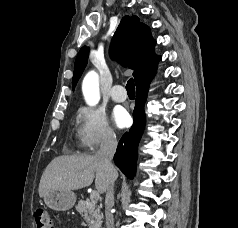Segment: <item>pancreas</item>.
Returning a JSON list of instances; mask_svg holds the SVG:
<instances>
[{"mask_svg":"<svg viewBox=\"0 0 238 228\" xmlns=\"http://www.w3.org/2000/svg\"><path fill=\"white\" fill-rule=\"evenodd\" d=\"M76 210L85 219L89 228H101L102 217L100 207L97 206V200H80L76 206Z\"/></svg>","mask_w":238,"mask_h":228,"instance_id":"pancreas-1","label":"pancreas"}]
</instances>
